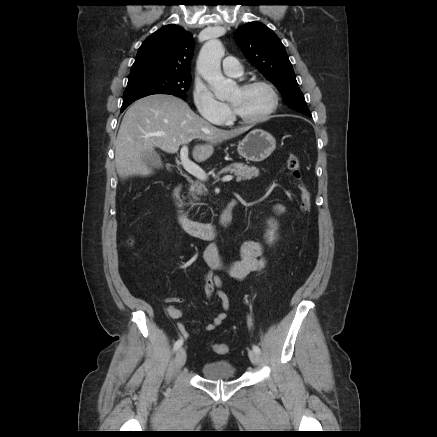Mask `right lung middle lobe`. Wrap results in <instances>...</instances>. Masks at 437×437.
Listing matches in <instances>:
<instances>
[{"label":"right lung middle lobe","instance_id":"1","mask_svg":"<svg viewBox=\"0 0 437 437\" xmlns=\"http://www.w3.org/2000/svg\"><path fill=\"white\" fill-rule=\"evenodd\" d=\"M190 83L191 75H172L151 70L133 71L129 74L121 109H126L137 99L153 94L185 98Z\"/></svg>","mask_w":437,"mask_h":437}]
</instances>
